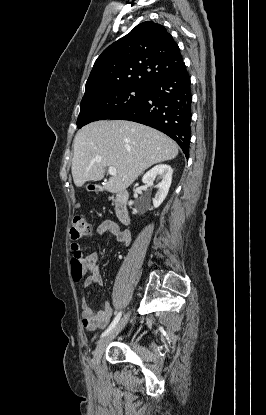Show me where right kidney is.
<instances>
[{"label":"right kidney","instance_id":"ca27d5eb","mask_svg":"<svg viewBox=\"0 0 266 415\" xmlns=\"http://www.w3.org/2000/svg\"><path fill=\"white\" fill-rule=\"evenodd\" d=\"M172 173L173 170L169 165L160 164L153 167L143 176L142 182L147 186H152L155 178L161 180L157 185L158 191L153 198L154 208H158L166 198L172 181ZM128 204L132 205L133 202L129 201Z\"/></svg>","mask_w":266,"mask_h":415}]
</instances>
